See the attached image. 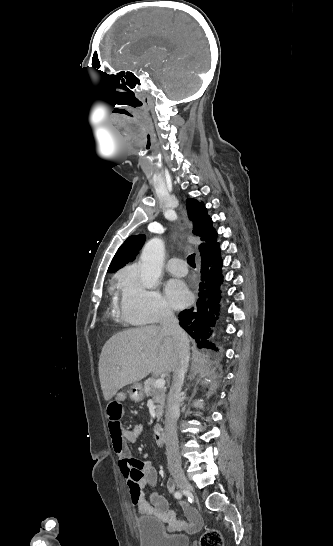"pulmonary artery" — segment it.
<instances>
[{
	"label": "pulmonary artery",
	"mask_w": 333,
	"mask_h": 546,
	"mask_svg": "<svg viewBox=\"0 0 333 546\" xmlns=\"http://www.w3.org/2000/svg\"><path fill=\"white\" fill-rule=\"evenodd\" d=\"M166 269L173 275L184 276L187 274V266L182 259L171 258L166 263Z\"/></svg>",
	"instance_id": "1"
}]
</instances>
